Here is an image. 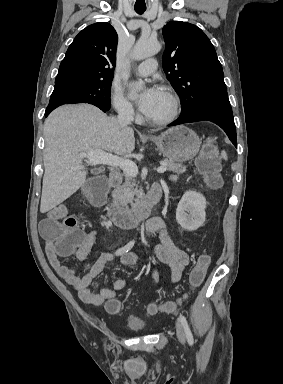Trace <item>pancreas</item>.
Wrapping results in <instances>:
<instances>
[{"label":"pancreas","mask_w":283,"mask_h":384,"mask_svg":"<svg viewBox=\"0 0 283 384\" xmlns=\"http://www.w3.org/2000/svg\"><path fill=\"white\" fill-rule=\"evenodd\" d=\"M164 162L167 170L174 172V174H184L186 170V166H183V164H175V162H170V160H164ZM109 176L110 178L118 176L121 182L124 180L121 186H112V188H114L112 192L113 206H116L121 214H131L143 192L138 190V184H136L132 176H128L125 172L111 170Z\"/></svg>","instance_id":"pancreas-1"}]
</instances>
